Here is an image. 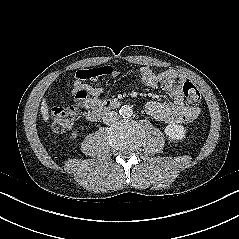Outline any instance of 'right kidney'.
<instances>
[{
    "label": "right kidney",
    "mask_w": 239,
    "mask_h": 239,
    "mask_svg": "<svg viewBox=\"0 0 239 239\" xmlns=\"http://www.w3.org/2000/svg\"><path fill=\"white\" fill-rule=\"evenodd\" d=\"M77 136H78V133H77V132H73L71 137H72L73 139H75Z\"/></svg>",
    "instance_id": "ca27d5eb"
}]
</instances>
